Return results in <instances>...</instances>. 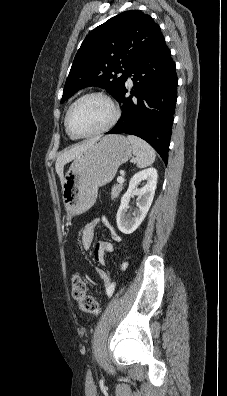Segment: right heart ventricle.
I'll list each match as a JSON object with an SVG mask.
<instances>
[{
    "mask_svg": "<svg viewBox=\"0 0 227 396\" xmlns=\"http://www.w3.org/2000/svg\"><path fill=\"white\" fill-rule=\"evenodd\" d=\"M69 135V134H68ZM70 136V135H69ZM70 138L74 139L72 136H70Z\"/></svg>",
    "mask_w": 227,
    "mask_h": 396,
    "instance_id": "1",
    "label": "right heart ventricle"
}]
</instances>
